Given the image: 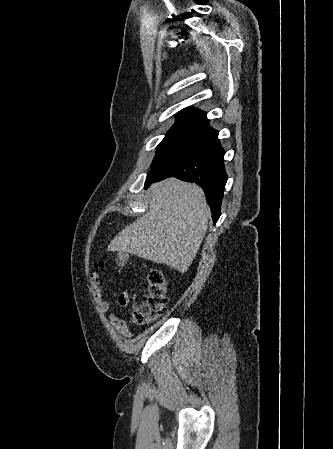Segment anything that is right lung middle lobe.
I'll return each mask as SVG.
<instances>
[{"label": "right lung middle lobe", "mask_w": 333, "mask_h": 449, "mask_svg": "<svg viewBox=\"0 0 333 449\" xmlns=\"http://www.w3.org/2000/svg\"><path fill=\"white\" fill-rule=\"evenodd\" d=\"M200 132L201 130L196 128L172 126L167 132L165 138L157 146V152L153 160L151 170L173 151H175L177 148L192 139Z\"/></svg>", "instance_id": "1"}]
</instances>
